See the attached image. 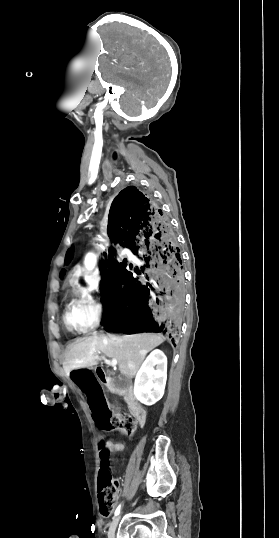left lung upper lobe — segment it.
Segmentation results:
<instances>
[{
	"label": "left lung upper lobe",
	"mask_w": 279,
	"mask_h": 538,
	"mask_svg": "<svg viewBox=\"0 0 279 538\" xmlns=\"http://www.w3.org/2000/svg\"><path fill=\"white\" fill-rule=\"evenodd\" d=\"M72 257H73V249L67 252L66 258H65V264H68L71 261ZM64 274H65V270H62L60 274L61 278L63 277Z\"/></svg>",
	"instance_id": "1"
}]
</instances>
